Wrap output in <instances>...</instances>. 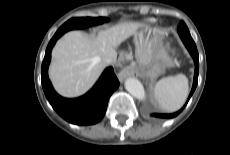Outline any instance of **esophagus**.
Instances as JSON below:
<instances>
[{"mask_svg": "<svg viewBox=\"0 0 230 155\" xmlns=\"http://www.w3.org/2000/svg\"><path fill=\"white\" fill-rule=\"evenodd\" d=\"M128 75H129V72L124 69L119 72L118 78L120 81H123Z\"/></svg>", "mask_w": 230, "mask_h": 155, "instance_id": "obj_1", "label": "esophagus"}]
</instances>
